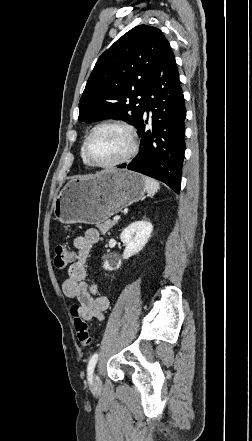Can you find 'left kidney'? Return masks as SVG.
I'll return each mask as SVG.
<instances>
[{
    "label": "left kidney",
    "mask_w": 252,
    "mask_h": 441,
    "mask_svg": "<svg viewBox=\"0 0 252 441\" xmlns=\"http://www.w3.org/2000/svg\"><path fill=\"white\" fill-rule=\"evenodd\" d=\"M153 231V226L150 222L146 220L136 221L126 227L121 233V241L125 245V250L123 252L122 258L128 259L131 256L137 254L141 251ZM121 265V259L118 260L117 267ZM103 268L105 270H112L113 267L110 266L107 260L103 263Z\"/></svg>",
    "instance_id": "5707ae66"
}]
</instances>
